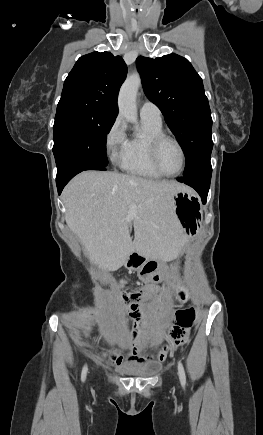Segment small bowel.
Returning a JSON list of instances; mask_svg holds the SVG:
<instances>
[{"label":"small bowel","instance_id":"c3829d8e","mask_svg":"<svg viewBox=\"0 0 263 435\" xmlns=\"http://www.w3.org/2000/svg\"><path fill=\"white\" fill-rule=\"evenodd\" d=\"M125 283H126L125 280H121V282H120V284L122 286ZM124 303L127 306V308L125 310V314H126V317L128 319V322H129L132 330H136V335L135 336H138V339H135V341L140 343L141 342V340H140L141 336L138 334V331L141 328H143V326H144V322H143L144 310H143V307L140 304V302H138V301H128V302L124 301ZM170 338L171 337H169L168 340ZM178 347H179V344L176 341H168V344L166 345V348L168 350H176ZM166 348H162V349H160L158 351V353H157V359L159 361H162V360L165 359L166 354H167ZM140 350H141V348H138L137 350H133V355L130 357V360L137 361V362H143L144 358L137 356V353ZM108 357H109L110 363L114 364V365L121 364L123 359H124L122 354L118 350H116V349L111 350V352L109 353Z\"/></svg>","mask_w":263,"mask_h":435}]
</instances>
